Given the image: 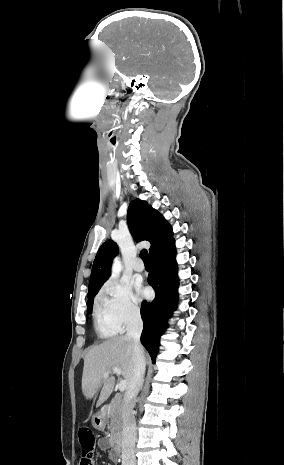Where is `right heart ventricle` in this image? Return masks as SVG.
Returning a JSON list of instances; mask_svg holds the SVG:
<instances>
[{"instance_id":"right-heart-ventricle-1","label":"right heart ventricle","mask_w":284,"mask_h":465,"mask_svg":"<svg viewBox=\"0 0 284 465\" xmlns=\"http://www.w3.org/2000/svg\"><path fill=\"white\" fill-rule=\"evenodd\" d=\"M93 326L98 337H113L118 333V328L102 306L94 310Z\"/></svg>"}]
</instances>
